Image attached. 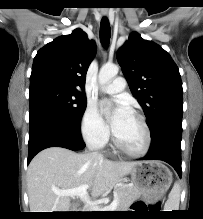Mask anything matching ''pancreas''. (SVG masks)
<instances>
[{"instance_id":"obj_1","label":"pancreas","mask_w":203,"mask_h":219,"mask_svg":"<svg viewBox=\"0 0 203 219\" xmlns=\"http://www.w3.org/2000/svg\"><path fill=\"white\" fill-rule=\"evenodd\" d=\"M118 206L116 211H124L139 197V192L135 187L121 186L116 190Z\"/></svg>"}]
</instances>
